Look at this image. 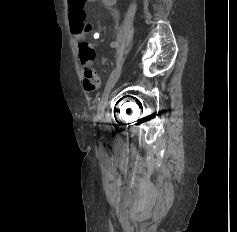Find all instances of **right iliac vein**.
I'll return each instance as SVG.
<instances>
[{
  "instance_id": "right-iliac-vein-1",
  "label": "right iliac vein",
  "mask_w": 237,
  "mask_h": 232,
  "mask_svg": "<svg viewBox=\"0 0 237 232\" xmlns=\"http://www.w3.org/2000/svg\"><path fill=\"white\" fill-rule=\"evenodd\" d=\"M121 70L122 69L120 66L115 68L109 77V80H108L105 90L103 92L102 98H101L99 105H98V116L99 117H102L104 114V110L107 106L109 94H110L111 90L113 89V87L115 86L117 80L119 79V77L121 75Z\"/></svg>"
}]
</instances>
